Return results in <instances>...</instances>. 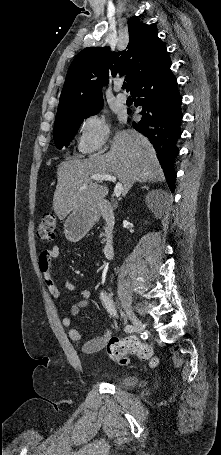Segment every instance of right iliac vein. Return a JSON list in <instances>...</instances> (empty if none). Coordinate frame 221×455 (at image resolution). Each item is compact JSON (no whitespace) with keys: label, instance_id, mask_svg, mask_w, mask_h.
<instances>
[{"label":"right iliac vein","instance_id":"63e3f726","mask_svg":"<svg viewBox=\"0 0 221 455\" xmlns=\"http://www.w3.org/2000/svg\"><path fill=\"white\" fill-rule=\"evenodd\" d=\"M129 318L130 320L132 321L133 325H134V331L136 333H141L144 329V325L143 323L141 322L140 319H138L133 313H129Z\"/></svg>","mask_w":221,"mask_h":455}]
</instances>
